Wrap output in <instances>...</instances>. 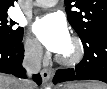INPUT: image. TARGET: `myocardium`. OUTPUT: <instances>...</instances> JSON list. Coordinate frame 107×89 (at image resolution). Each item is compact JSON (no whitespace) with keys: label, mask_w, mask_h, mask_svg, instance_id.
Masks as SVG:
<instances>
[{"label":"myocardium","mask_w":107,"mask_h":89,"mask_svg":"<svg viewBox=\"0 0 107 89\" xmlns=\"http://www.w3.org/2000/svg\"><path fill=\"white\" fill-rule=\"evenodd\" d=\"M70 43L72 45V53L67 56L59 54L56 58L58 63L66 67L76 66L84 57V46L80 38L72 36L70 38Z\"/></svg>","instance_id":"myocardium-1"}]
</instances>
